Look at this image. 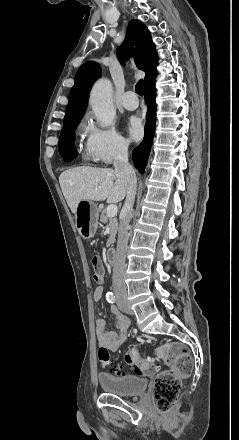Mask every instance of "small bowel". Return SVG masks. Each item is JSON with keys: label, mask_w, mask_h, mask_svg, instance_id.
<instances>
[{"label": "small bowel", "mask_w": 239, "mask_h": 440, "mask_svg": "<svg viewBox=\"0 0 239 440\" xmlns=\"http://www.w3.org/2000/svg\"><path fill=\"white\" fill-rule=\"evenodd\" d=\"M103 291L104 289L101 285L95 288L93 293L95 302L101 301ZM111 312L115 319L116 331H108L104 318L98 317L96 319V335L100 349L116 351L126 340L129 319L120 313L115 307H112Z\"/></svg>", "instance_id": "c3829d8e"}]
</instances>
